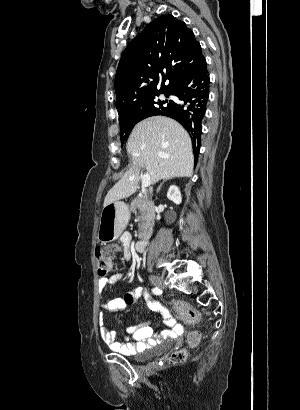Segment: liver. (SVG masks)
Listing matches in <instances>:
<instances>
[{
  "label": "liver",
  "mask_w": 300,
  "mask_h": 410,
  "mask_svg": "<svg viewBox=\"0 0 300 410\" xmlns=\"http://www.w3.org/2000/svg\"><path fill=\"white\" fill-rule=\"evenodd\" d=\"M127 152L133 165L107 193L104 206L128 198L138 188L144 167L151 184L170 177H191L194 156L186 130L175 120L153 116L138 123L131 132Z\"/></svg>",
  "instance_id": "6515ba94"
}]
</instances>
